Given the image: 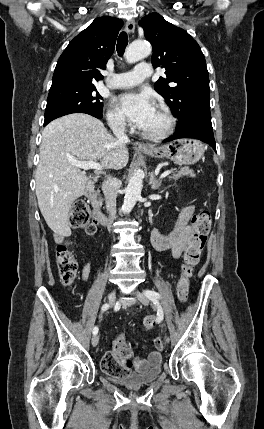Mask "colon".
Returning a JSON list of instances; mask_svg holds the SVG:
<instances>
[{
    "label": "colon",
    "instance_id": "colon-1",
    "mask_svg": "<svg viewBox=\"0 0 264 429\" xmlns=\"http://www.w3.org/2000/svg\"><path fill=\"white\" fill-rule=\"evenodd\" d=\"M69 222L73 228H87L92 222L90 211L83 201H76L69 214ZM211 225V215L208 211L203 210L192 218V228L195 232L194 238L186 249L181 266V277L177 283V296L180 301H185L189 291L190 278L194 268L199 263L202 250L204 248L207 234ZM57 267L60 279L66 286L73 285L77 272V262L75 255L65 245L59 244L56 250ZM142 327L145 330L152 329L156 326L157 321L154 316H146L142 320ZM156 349L162 350L164 342L161 338L154 341ZM129 357L126 348L121 349L119 355L106 354L102 360L103 370L114 376H122L129 373L124 359Z\"/></svg>",
    "mask_w": 264,
    "mask_h": 429
}]
</instances>
